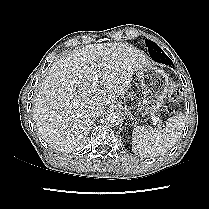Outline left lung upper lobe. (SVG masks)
Masks as SVG:
<instances>
[{
    "mask_svg": "<svg viewBox=\"0 0 209 209\" xmlns=\"http://www.w3.org/2000/svg\"><path fill=\"white\" fill-rule=\"evenodd\" d=\"M146 45L149 50L150 57L159 63L166 64V65H173V62L170 58L161 50V48L152 41L146 39Z\"/></svg>",
    "mask_w": 209,
    "mask_h": 209,
    "instance_id": "obj_1",
    "label": "left lung upper lobe"
}]
</instances>
